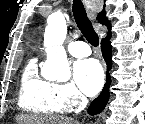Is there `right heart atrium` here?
Masks as SVG:
<instances>
[{
  "label": "right heart atrium",
  "mask_w": 145,
  "mask_h": 124,
  "mask_svg": "<svg viewBox=\"0 0 145 124\" xmlns=\"http://www.w3.org/2000/svg\"><path fill=\"white\" fill-rule=\"evenodd\" d=\"M54 98L61 112H71L85 103V98L72 83L55 84Z\"/></svg>",
  "instance_id": "d8ad5b80"
}]
</instances>
